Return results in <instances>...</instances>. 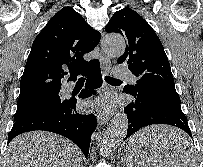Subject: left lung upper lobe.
<instances>
[{
	"mask_svg": "<svg viewBox=\"0 0 203 167\" xmlns=\"http://www.w3.org/2000/svg\"><path fill=\"white\" fill-rule=\"evenodd\" d=\"M105 30L119 33L127 41L126 50L117 62L127 65L137 82L125 86L123 92L134 98L148 95L157 99L179 98L163 45L137 12L130 8L115 12Z\"/></svg>",
	"mask_w": 203,
	"mask_h": 167,
	"instance_id": "obj_1",
	"label": "left lung upper lobe"
}]
</instances>
